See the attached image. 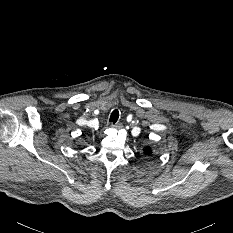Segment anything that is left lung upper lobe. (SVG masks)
<instances>
[{
	"instance_id": "left-lung-upper-lobe-1",
	"label": "left lung upper lobe",
	"mask_w": 233,
	"mask_h": 233,
	"mask_svg": "<svg viewBox=\"0 0 233 233\" xmlns=\"http://www.w3.org/2000/svg\"><path fill=\"white\" fill-rule=\"evenodd\" d=\"M144 153H145L146 155H150V154L152 153L150 147H146L145 150H144Z\"/></svg>"
}]
</instances>
